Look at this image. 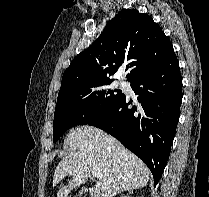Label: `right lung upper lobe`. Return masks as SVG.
Wrapping results in <instances>:
<instances>
[{
	"label": "right lung upper lobe",
	"mask_w": 209,
	"mask_h": 197,
	"mask_svg": "<svg viewBox=\"0 0 209 197\" xmlns=\"http://www.w3.org/2000/svg\"><path fill=\"white\" fill-rule=\"evenodd\" d=\"M174 52L161 27L151 16L122 10L110 20L94 43L78 54L65 70L61 88L110 80L126 65L128 81L157 67Z\"/></svg>",
	"instance_id": "right-lung-upper-lobe-1"
}]
</instances>
